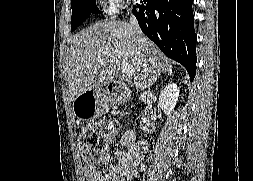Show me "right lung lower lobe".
Returning <instances> with one entry per match:
<instances>
[{"mask_svg": "<svg viewBox=\"0 0 253 181\" xmlns=\"http://www.w3.org/2000/svg\"><path fill=\"white\" fill-rule=\"evenodd\" d=\"M193 0H141L132 10L141 30L169 58L182 64L193 81L196 34Z\"/></svg>", "mask_w": 253, "mask_h": 181, "instance_id": "98d812e1", "label": "right lung lower lobe"}]
</instances>
